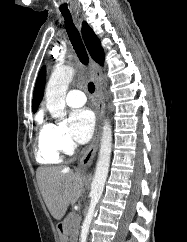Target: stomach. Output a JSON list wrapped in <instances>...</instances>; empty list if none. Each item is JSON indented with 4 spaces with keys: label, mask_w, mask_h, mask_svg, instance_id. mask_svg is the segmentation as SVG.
Segmentation results:
<instances>
[{
    "label": "stomach",
    "mask_w": 187,
    "mask_h": 242,
    "mask_svg": "<svg viewBox=\"0 0 187 242\" xmlns=\"http://www.w3.org/2000/svg\"><path fill=\"white\" fill-rule=\"evenodd\" d=\"M58 233H59L60 242H66V234L64 233L62 227L58 228Z\"/></svg>",
    "instance_id": "obj_1"
}]
</instances>
